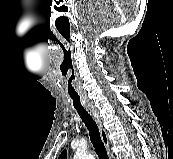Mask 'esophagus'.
I'll use <instances>...</instances> for the list:
<instances>
[{
    "label": "esophagus",
    "instance_id": "esophagus-1",
    "mask_svg": "<svg viewBox=\"0 0 173 159\" xmlns=\"http://www.w3.org/2000/svg\"><path fill=\"white\" fill-rule=\"evenodd\" d=\"M87 111L91 114V116L93 117L94 121L96 122L98 128H99V132H100V136L102 139V142L104 143L108 153L110 151L109 148V138H108V134L106 132V130L103 127L102 124V119L99 115V112L97 111V109H95L94 107H87Z\"/></svg>",
    "mask_w": 173,
    "mask_h": 159
}]
</instances>
